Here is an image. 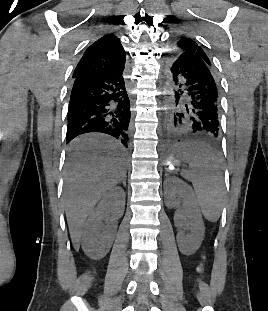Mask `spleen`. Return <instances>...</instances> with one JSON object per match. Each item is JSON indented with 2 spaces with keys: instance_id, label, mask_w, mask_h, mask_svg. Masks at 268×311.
<instances>
[{
  "instance_id": "spleen-1",
  "label": "spleen",
  "mask_w": 268,
  "mask_h": 311,
  "mask_svg": "<svg viewBox=\"0 0 268 311\" xmlns=\"http://www.w3.org/2000/svg\"><path fill=\"white\" fill-rule=\"evenodd\" d=\"M188 150L184 160L190 170L182 175L192 182L204 217L215 222L220 217L224 195L219 152L212 144H206V140H190Z\"/></svg>"
}]
</instances>
